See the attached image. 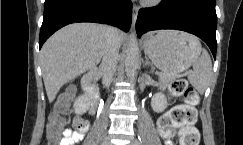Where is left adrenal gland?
<instances>
[{
    "mask_svg": "<svg viewBox=\"0 0 243 145\" xmlns=\"http://www.w3.org/2000/svg\"><path fill=\"white\" fill-rule=\"evenodd\" d=\"M144 65H145V66H151V69H152V71H153L154 68H153L152 64L149 62V60H148L147 57L145 58V63H144Z\"/></svg>",
    "mask_w": 243,
    "mask_h": 145,
    "instance_id": "left-adrenal-gland-1",
    "label": "left adrenal gland"
}]
</instances>
